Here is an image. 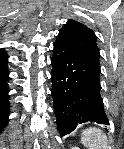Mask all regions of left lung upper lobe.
I'll return each mask as SVG.
<instances>
[{"mask_svg": "<svg viewBox=\"0 0 124 149\" xmlns=\"http://www.w3.org/2000/svg\"><path fill=\"white\" fill-rule=\"evenodd\" d=\"M59 34L90 61L100 67V54L96 44V36L90 28L78 21L70 19L62 27Z\"/></svg>", "mask_w": 124, "mask_h": 149, "instance_id": "1", "label": "left lung upper lobe"}]
</instances>
